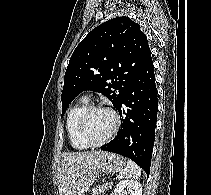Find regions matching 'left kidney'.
<instances>
[{"label":"left kidney","instance_id":"5707ae66","mask_svg":"<svg viewBox=\"0 0 211 195\" xmlns=\"http://www.w3.org/2000/svg\"><path fill=\"white\" fill-rule=\"evenodd\" d=\"M112 195H142V185L135 180H122Z\"/></svg>","mask_w":211,"mask_h":195}]
</instances>
